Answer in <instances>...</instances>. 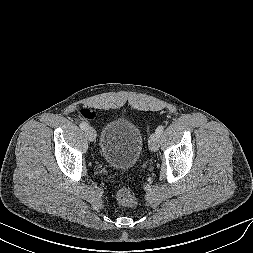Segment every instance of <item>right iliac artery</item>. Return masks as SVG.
I'll return each mask as SVG.
<instances>
[{"instance_id": "obj_1", "label": "right iliac artery", "mask_w": 253, "mask_h": 253, "mask_svg": "<svg viewBox=\"0 0 253 253\" xmlns=\"http://www.w3.org/2000/svg\"><path fill=\"white\" fill-rule=\"evenodd\" d=\"M79 126L82 130H86L88 128V124L86 122H81Z\"/></svg>"}]
</instances>
